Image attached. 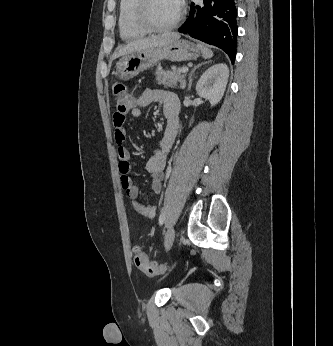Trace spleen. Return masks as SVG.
<instances>
[{"mask_svg": "<svg viewBox=\"0 0 333 346\" xmlns=\"http://www.w3.org/2000/svg\"><path fill=\"white\" fill-rule=\"evenodd\" d=\"M198 46H199L201 53L205 59L211 58L213 56V52L211 49H209L208 47H206L202 44H198Z\"/></svg>", "mask_w": 333, "mask_h": 346, "instance_id": "obj_1", "label": "spleen"}]
</instances>
